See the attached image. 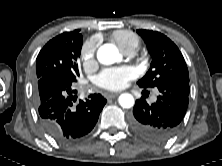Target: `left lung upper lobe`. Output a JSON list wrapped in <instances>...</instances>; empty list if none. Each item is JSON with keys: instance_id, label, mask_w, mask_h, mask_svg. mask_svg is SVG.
<instances>
[{"instance_id": "obj_1", "label": "left lung upper lobe", "mask_w": 222, "mask_h": 166, "mask_svg": "<svg viewBox=\"0 0 222 166\" xmlns=\"http://www.w3.org/2000/svg\"><path fill=\"white\" fill-rule=\"evenodd\" d=\"M137 33L145 40L152 56L149 71L137 82L140 87H157L168 80L189 82L187 65L173 41L157 31L139 29Z\"/></svg>"}]
</instances>
